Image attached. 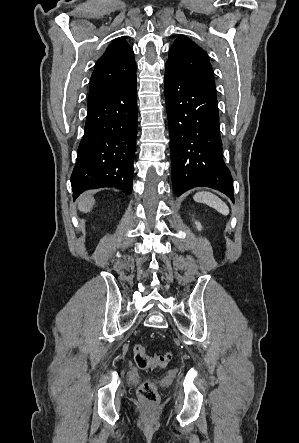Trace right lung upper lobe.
<instances>
[{
    "label": "right lung upper lobe",
    "mask_w": 299,
    "mask_h": 443,
    "mask_svg": "<svg viewBox=\"0 0 299 443\" xmlns=\"http://www.w3.org/2000/svg\"><path fill=\"white\" fill-rule=\"evenodd\" d=\"M136 72L133 50L123 38L115 39L98 59L90 79L88 105L115 91Z\"/></svg>",
    "instance_id": "1"
}]
</instances>
